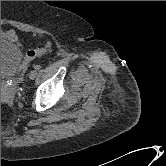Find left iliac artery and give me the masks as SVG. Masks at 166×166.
<instances>
[{
    "label": "left iliac artery",
    "mask_w": 166,
    "mask_h": 166,
    "mask_svg": "<svg viewBox=\"0 0 166 166\" xmlns=\"http://www.w3.org/2000/svg\"><path fill=\"white\" fill-rule=\"evenodd\" d=\"M34 68H35L36 70H40L41 66H40V65H35Z\"/></svg>",
    "instance_id": "obj_1"
}]
</instances>
